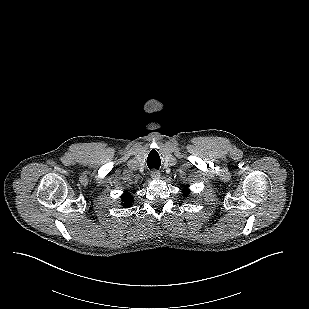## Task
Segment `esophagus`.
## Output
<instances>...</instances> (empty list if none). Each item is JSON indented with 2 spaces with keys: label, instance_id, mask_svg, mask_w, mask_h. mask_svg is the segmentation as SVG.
<instances>
[{
  "label": "esophagus",
  "instance_id": "esophagus-1",
  "mask_svg": "<svg viewBox=\"0 0 309 309\" xmlns=\"http://www.w3.org/2000/svg\"><path fill=\"white\" fill-rule=\"evenodd\" d=\"M160 172L158 171V170H152L151 171V177L153 178V179H159L160 178Z\"/></svg>",
  "mask_w": 309,
  "mask_h": 309
}]
</instances>
